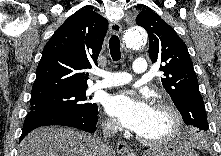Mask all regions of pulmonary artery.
I'll return each mask as SVG.
<instances>
[{
	"mask_svg": "<svg viewBox=\"0 0 221 156\" xmlns=\"http://www.w3.org/2000/svg\"><path fill=\"white\" fill-rule=\"evenodd\" d=\"M133 72L135 74H143L147 71V62L144 58L139 57L133 62ZM99 75L103 78L96 82L92 89L109 88L129 83L132 80V75L127 72H108L101 71Z\"/></svg>",
	"mask_w": 221,
	"mask_h": 156,
	"instance_id": "1",
	"label": "pulmonary artery"
}]
</instances>
